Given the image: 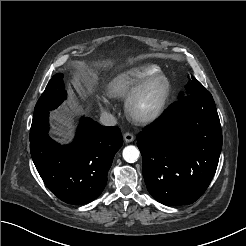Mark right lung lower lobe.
I'll return each instance as SVG.
<instances>
[{"label":"right lung lower lobe","instance_id":"obj_1","mask_svg":"<svg viewBox=\"0 0 246 246\" xmlns=\"http://www.w3.org/2000/svg\"><path fill=\"white\" fill-rule=\"evenodd\" d=\"M48 117L49 110L34 113L30 130V151L38 173L63 202L79 205L96 199L123 144L120 130L84 118L74 141L61 146L48 136Z\"/></svg>","mask_w":246,"mask_h":246}]
</instances>
